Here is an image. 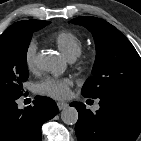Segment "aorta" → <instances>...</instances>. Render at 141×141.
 Wrapping results in <instances>:
<instances>
[{"mask_svg": "<svg viewBox=\"0 0 141 141\" xmlns=\"http://www.w3.org/2000/svg\"><path fill=\"white\" fill-rule=\"evenodd\" d=\"M36 66L43 71L55 72L58 69V61L50 52H41L35 58ZM61 119L67 125H74L78 120V111L75 107H66L61 112Z\"/></svg>", "mask_w": 141, "mask_h": 141, "instance_id": "aorta-1", "label": "aorta"}]
</instances>
